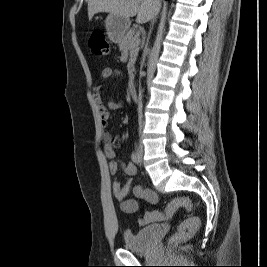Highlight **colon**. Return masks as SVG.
<instances>
[{
	"instance_id": "5ec220e1",
	"label": "colon",
	"mask_w": 267,
	"mask_h": 267,
	"mask_svg": "<svg viewBox=\"0 0 267 267\" xmlns=\"http://www.w3.org/2000/svg\"><path fill=\"white\" fill-rule=\"evenodd\" d=\"M89 46L92 52L98 56L109 54L110 46L104 34L101 31H95L89 38ZM193 207L192 201L188 197H177L171 200L163 211H148L141 219L142 224L153 223L170 218L179 208L190 211ZM199 227L198 217L191 216L186 218L178 227L176 232L170 237V244H177L190 239Z\"/></svg>"
}]
</instances>
